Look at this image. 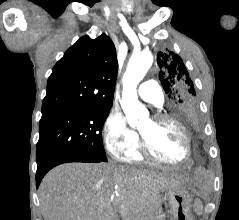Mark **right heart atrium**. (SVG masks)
Wrapping results in <instances>:
<instances>
[{
  "instance_id": "obj_1",
  "label": "right heart atrium",
  "mask_w": 239,
  "mask_h": 220,
  "mask_svg": "<svg viewBox=\"0 0 239 220\" xmlns=\"http://www.w3.org/2000/svg\"><path fill=\"white\" fill-rule=\"evenodd\" d=\"M102 132L108 152L116 159L124 158L138 145L137 134L127 126L124 115L117 109L110 110L106 116Z\"/></svg>"
}]
</instances>
